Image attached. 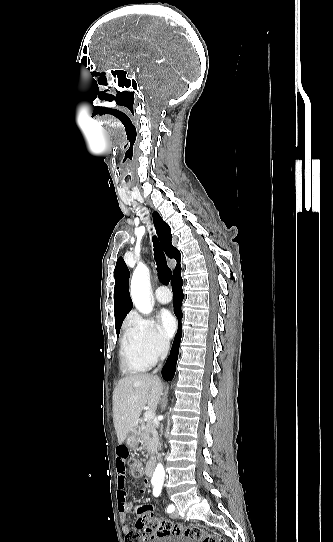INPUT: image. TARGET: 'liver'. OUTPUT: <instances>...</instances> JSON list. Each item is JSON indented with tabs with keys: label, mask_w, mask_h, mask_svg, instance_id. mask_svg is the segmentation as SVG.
<instances>
[{
	"label": "liver",
	"mask_w": 333,
	"mask_h": 542,
	"mask_svg": "<svg viewBox=\"0 0 333 542\" xmlns=\"http://www.w3.org/2000/svg\"><path fill=\"white\" fill-rule=\"evenodd\" d=\"M163 384L151 374H129L119 380L113 392V422L118 444L136 428L143 408L157 410Z\"/></svg>",
	"instance_id": "liver-1"
}]
</instances>
